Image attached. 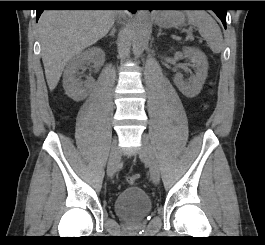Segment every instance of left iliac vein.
<instances>
[{
  "mask_svg": "<svg viewBox=\"0 0 265 245\" xmlns=\"http://www.w3.org/2000/svg\"><path fill=\"white\" fill-rule=\"evenodd\" d=\"M138 154L141 159H144L148 163L153 183L158 184L160 181L159 164L149 138L145 135L142 136V145L139 148Z\"/></svg>",
  "mask_w": 265,
  "mask_h": 245,
  "instance_id": "obj_1",
  "label": "left iliac vein"
}]
</instances>
